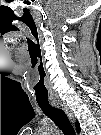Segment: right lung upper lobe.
<instances>
[{
	"mask_svg": "<svg viewBox=\"0 0 101 135\" xmlns=\"http://www.w3.org/2000/svg\"><path fill=\"white\" fill-rule=\"evenodd\" d=\"M76 129H77V131H80V126H79V124H76Z\"/></svg>",
	"mask_w": 101,
	"mask_h": 135,
	"instance_id": "1",
	"label": "right lung upper lobe"
}]
</instances>
